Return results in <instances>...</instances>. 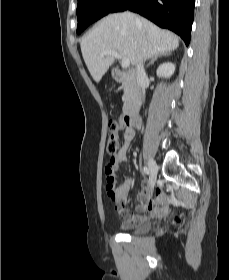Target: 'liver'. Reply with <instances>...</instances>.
<instances>
[{"instance_id": "6515ba94", "label": "liver", "mask_w": 229, "mask_h": 280, "mask_svg": "<svg viewBox=\"0 0 229 280\" xmlns=\"http://www.w3.org/2000/svg\"><path fill=\"white\" fill-rule=\"evenodd\" d=\"M137 18L129 12L108 15L82 38V56L95 82H100L115 61L111 55L103 57L104 51H116L137 65L144 56L153 58L179 46V37L174 33L142 18L137 24Z\"/></svg>"}]
</instances>
